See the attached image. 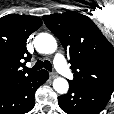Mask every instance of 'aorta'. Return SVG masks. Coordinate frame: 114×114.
Returning a JSON list of instances; mask_svg holds the SVG:
<instances>
[{
	"mask_svg": "<svg viewBox=\"0 0 114 114\" xmlns=\"http://www.w3.org/2000/svg\"><path fill=\"white\" fill-rule=\"evenodd\" d=\"M34 46L39 53L51 54L57 49V41L48 33H40L34 39ZM53 88L57 93L65 94L69 89L68 81L58 77L53 81Z\"/></svg>",
	"mask_w": 114,
	"mask_h": 114,
	"instance_id": "aorta-1",
	"label": "aorta"
}]
</instances>
